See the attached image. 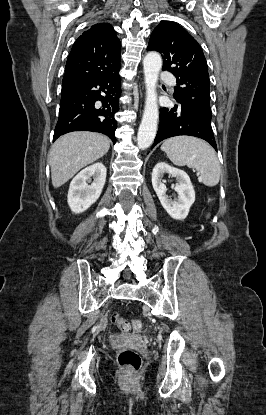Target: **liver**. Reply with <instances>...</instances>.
Returning a JSON list of instances; mask_svg holds the SVG:
<instances>
[{
    "label": "liver",
    "instance_id": "liver-1",
    "mask_svg": "<svg viewBox=\"0 0 266 415\" xmlns=\"http://www.w3.org/2000/svg\"><path fill=\"white\" fill-rule=\"evenodd\" d=\"M110 142L102 134L82 131L57 139L49 153L54 188H59L80 169L103 157L110 148Z\"/></svg>",
    "mask_w": 266,
    "mask_h": 415
}]
</instances>
